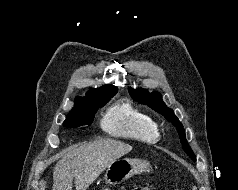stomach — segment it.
Instances as JSON below:
<instances>
[{
  "label": "stomach",
  "mask_w": 238,
  "mask_h": 190,
  "mask_svg": "<svg viewBox=\"0 0 238 190\" xmlns=\"http://www.w3.org/2000/svg\"><path fill=\"white\" fill-rule=\"evenodd\" d=\"M148 168L149 163L142 159H117L107 167L104 178L109 185H116L133 175L145 172Z\"/></svg>",
  "instance_id": "stomach-1"
}]
</instances>
